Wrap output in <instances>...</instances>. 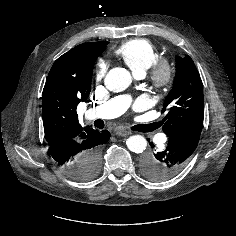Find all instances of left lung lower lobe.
I'll use <instances>...</instances> for the list:
<instances>
[{"label":"left lung lower lobe","instance_id":"left-lung-lower-lobe-1","mask_svg":"<svg viewBox=\"0 0 236 236\" xmlns=\"http://www.w3.org/2000/svg\"><path fill=\"white\" fill-rule=\"evenodd\" d=\"M202 125H194L169 135L164 151H152L141 162L142 173L154 181L176 176L187 165L198 145ZM151 147H154L150 143Z\"/></svg>","mask_w":236,"mask_h":236}]
</instances>
